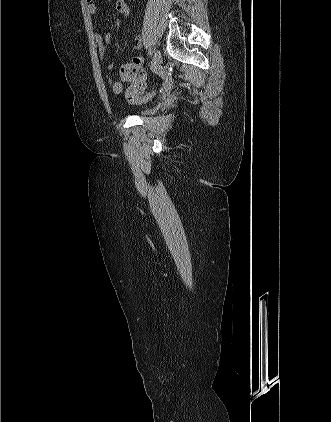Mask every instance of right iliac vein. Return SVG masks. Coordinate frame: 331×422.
<instances>
[{
  "label": "right iliac vein",
  "mask_w": 331,
  "mask_h": 422,
  "mask_svg": "<svg viewBox=\"0 0 331 422\" xmlns=\"http://www.w3.org/2000/svg\"><path fill=\"white\" fill-rule=\"evenodd\" d=\"M161 62V54L159 51H155L151 62V70H156Z\"/></svg>",
  "instance_id": "right-iliac-vein-1"
}]
</instances>
